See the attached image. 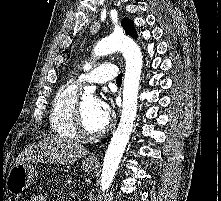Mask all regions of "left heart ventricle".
Listing matches in <instances>:
<instances>
[{
    "instance_id": "b2bd125f",
    "label": "left heart ventricle",
    "mask_w": 221,
    "mask_h": 201,
    "mask_svg": "<svg viewBox=\"0 0 221 201\" xmlns=\"http://www.w3.org/2000/svg\"><path fill=\"white\" fill-rule=\"evenodd\" d=\"M82 102L83 119L86 129L93 133L100 131L107 124V120L100 114L97 100L93 97H87Z\"/></svg>"
}]
</instances>
